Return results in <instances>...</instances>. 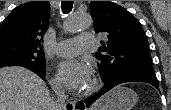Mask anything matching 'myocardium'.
<instances>
[{"label": "myocardium", "instance_id": "myocardium-1", "mask_svg": "<svg viewBox=\"0 0 171 110\" xmlns=\"http://www.w3.org/2000/svg\"><path fill=\"white\" fill-rule=\"evenodd\" d=\"M99 86H100V81L96 76H94L91 80L90 85L82 92V96L91 95L92 93L98 90Z\"/></svg>", "mask_w": 171, "mask_h": 110}]
</instances>
